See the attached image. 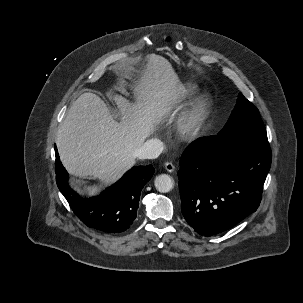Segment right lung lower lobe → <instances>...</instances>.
Listing matches in <instances>:
<instances>
[{
  "label": "right lung lower lobe",
  "mask_w": 303,
  "mask_h": 303,
  "mask_svg": "<svg viewBox=\"0 0 303 303\" xmlns=\"http://www.w3.org/2000/svg\"><path fill=\"white\" fill-rule=\"evenodd\" d=\"M55 155L57 186L84 224L106 233H121L130 228L136 218L141 190L154 174L153 166L133 167L99 196L82 198L70 188L56 146Z\"/></svg>",
  "instance_id": "right-lung-lower-lobe-1"
}]
</instances>
